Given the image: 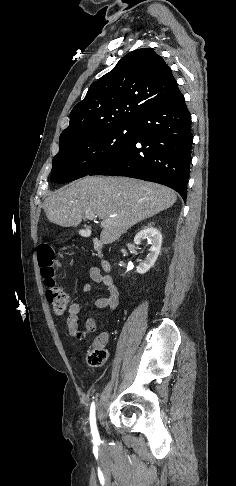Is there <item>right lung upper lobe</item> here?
Returning a JSON list of instances; mask_svg holds the SVG:
<instances>
[{
	"instance_id": "obj_1",
	"label": "right lung upper lobe",
	"mask_w": 236,
	"mask_h": 486,
	"mask_svg": "<svg viewBox=\"0 0 236 486\" xmlns=\"http://www.w3.org/2000/svg\"><path fill=\"white\" fill-rule=\"evenodd\" d=\"M181 97L162 57L150 48L134 50L90 86L72 109L59 143L90 131L135 123L150 108Z\"/></svg>"
}]
</instances>
